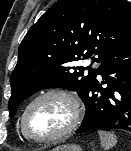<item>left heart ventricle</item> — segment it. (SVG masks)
I'll use <instances>...</instances> for the list:
<instances>
[{"label": "left heart ventricle", "mask_w": 131, "mask_h": 151, "mask_svg": "<svg viewBox=\"0 0 131 151\" xmlns=\"http://www.w3.org/2000/svg\"><path fill=\"white\" fill-rule=\"evenodd\" d=\"M70 118L67 103L57 97L37 102L28 112L26 126L34 137H48L62 130Z\"/></svg>", "instance_id": "obj_1"}]
</instances>
